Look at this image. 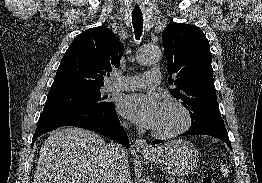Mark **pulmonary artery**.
Masks as SVG:
<instances>
[{"label": "pulmonary artery", "instance_id": "e3ab8cb5", "mask_svg": "<svg viewBox=\"0 0 262 183\" xmlns=\"http://www.w3.org/2000/svg\"><path fill=\"white\" fill-rule=\"evenodd\" d=\"M160 80V70L157 68L134 76L115 75L114 81L109 86V90H138L150 88L159 85Z\"/></svg>", "mask_w": 262, "mask_h": 183}]
</instances>
